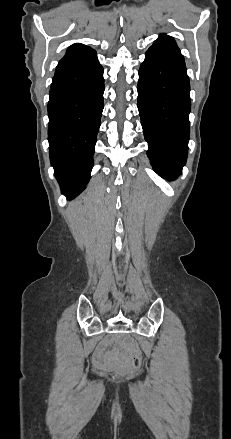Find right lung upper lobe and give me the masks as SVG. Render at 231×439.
I'll return each mask as SVG.
<instances>
[{"label":"right lung upper lobe","instance_id":"1","mask_svg":"<svg viewBox=\"0 0 231 439\" xmlns=\"http://www.w3.org/2000/svg\"><path fill=\"white\" fill-rule=\"evenodd\" d=\"M96 56V51L80 43L71 45L57 65L56 73L75 68Z\"/></svg>","mask_w":231,"mask_h":439}]
</instances>
